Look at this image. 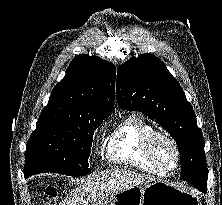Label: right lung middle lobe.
Masks as SVG:
<instances>
[{"instance_id":"dd1d6c3e","label":"right lung middle lobe","mask_w":222,"mask_h":205,"mask_svg":"<svg viewBox=\"0 0 222 205\" xmlns=\"http://www.w3.org/2000/svg\"><path fill=\"white\" fill-rule=\"evenodd\" d=\"M103 119H39L25 152L29 176L55 172L73 177L90 172L88 158L94 130Z\"/></svg>"}]
</instances>
